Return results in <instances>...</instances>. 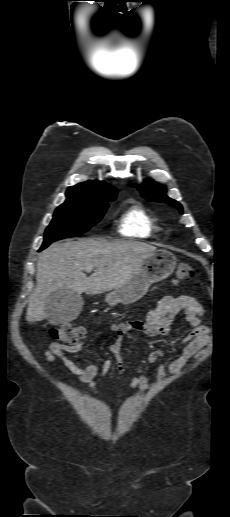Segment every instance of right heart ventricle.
Listing matches in <instances>:
<instances>
[{
	"label": "right heart ventricle",
	"instance_id": "right-heart-ventricle-1",
	"mask_svg": "<svg viewBox=\"0 0 230 517\" xmlns=\"http://www.w3.org/2000/svg\"><path fill=\"white\" fill-rule=\"evenodd\" d=\"M118 230L127 237L158 238L164 231L161 220L139 205L130 206L121 216Z\"/></svg>",
	"mask_w": 230,
	"mask_h": 517
}]
</instances>
